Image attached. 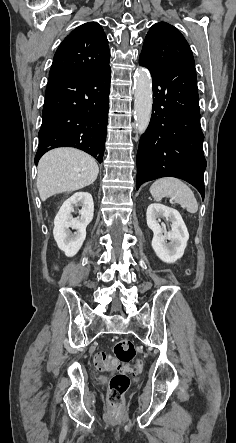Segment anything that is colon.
<instances>
[{
	"label": "colon",
	"instance_id": "5ec220e1",
	"mask_svg": "<svg viewBox=\"0 0 236 443\" xmlns=\"http://www.w3.org/2000/svg\"><path fill=\"white\" fill-rule=\"evenodd\" d=\"M136 348L129 339L116 341L113 347V355L109 356L104 352H98L94 356V365L102 371L113 370H133L142 372L143 365L135 361ZM133 363L131 367L130 364ZM130 385L129 377L124 373L114 375L109 382L108 398L112 405H119L124 393Z\"/></svg>",
	"mask_w": 236,
	"mask_h": 443
}]
</instances>
